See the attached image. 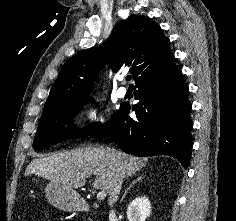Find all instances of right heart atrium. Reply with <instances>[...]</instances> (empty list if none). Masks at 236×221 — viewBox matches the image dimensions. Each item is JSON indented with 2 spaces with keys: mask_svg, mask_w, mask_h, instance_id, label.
<instances>
[{
  "mask_svg": "<svg viewBox=\"0 0 236 221\" xmlns=\"http://www.w3.org/2000/svg\"><path fill=\"white\" fill-rule=\"evenodd\" d=\"M85 121L91 131L99 129L106 121V111L103 105L93 104L85 109Z\"/></svg>",
  "mask_w": 236,
  "mask_h": 221,
  "instance_id": "right-heart-atrium-1",
  "label": "right heart atrium"
}]
</instances>
